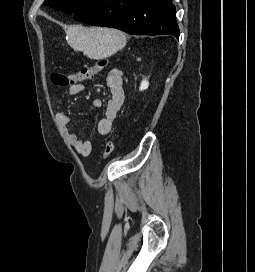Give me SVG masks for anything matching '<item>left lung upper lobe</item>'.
<instances>
[{
  "label": "left lung upper lobe",
  "mask_w": 255,
  "mask_h": 272,
  "mask_svg": "<svg viewBox=\"0 0 255 272\" xmlns=\"http://www.w3.org/2000/svg\"><path fill=\"white\" fill-rule=\"evenodd\" d=\"M94 0H45L44 5H49L64 13H76L90 5Z\"/></svg>",
  "instance_id": "1"
}]
</instances>
